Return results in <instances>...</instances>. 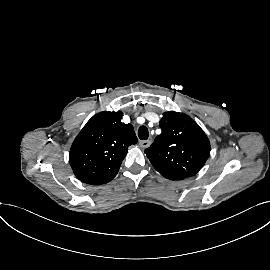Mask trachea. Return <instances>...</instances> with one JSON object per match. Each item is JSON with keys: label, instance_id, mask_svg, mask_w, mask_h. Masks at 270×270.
<instances>
[{"label": "trachea", "instance_id": "trachea-1", "mask_svg": "<svg viewBox=\"0 0 270 270\" xmlns=\"http://www.w3.org/2000/svg\"><path fill=\"white\" fill-rule=\"evenodd\" d=\"M149 136V132L146 126H140L138 129V137L141 140H147Z\"/></svg>", "mask_w": 270, "mask_h": 270}]
</instances>
